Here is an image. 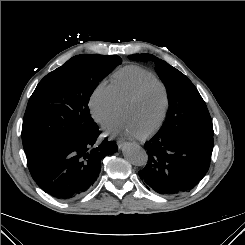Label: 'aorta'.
I'll return each mask as SVG.
<instances>
[{
  "mask_svg": "<svg viewBox=\"0 0 245 245\" xmlns=\"http://www.w3.org/2000/svg\"><path fill=\"white\" fill-rule=\"evenodd\" d=\"M122 151L126 160L135 166H144L148 161L147 152L138 144L127 143Z\"/></svg>",
  "mask_w": 245,
  "mask_h": 245,
  "instance_id": "aorta-1",
  "label": "aorta"
}]
</instances>
